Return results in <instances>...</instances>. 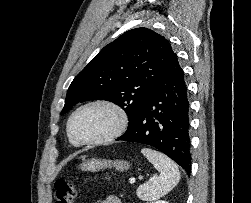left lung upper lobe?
<instances>
[{"mask_svg":"<svg viewBox=\"0 0 251 203\" xmlns=\"http://www.w3.org/2000/svg\"><path fill=\"white\" fill-rule=\"evenodd\" d=\"M173 54L170 43L148 28L125 32L74 78L61 115L79 102L104 99L124 109L130 128Z\"/></svg>","mask_w":251,"mask_h":203,"instance_id":"5c2ea615","label":"left lung upper lobe"}]
</instances>
